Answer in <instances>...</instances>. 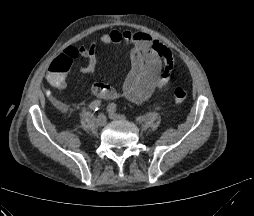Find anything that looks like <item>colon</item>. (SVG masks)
I'll use <instances>...</instances> for the list:
<instances>
[{
	"label": "colon",
	"mask_w": 254,
	"mask_h": 216,
	"mask_svg": "<svg viewBox=\"0 0 254 216\" xmlns=\"http://www.w3.org/2000/svg\"><path fill=\"white\" fill-rule=\"evenodd\" d=\"M69 66L70 65L62 63L61 57L54 60L49 66V74L51 75V78L57 79L60 75L68 70ZM173 96L176 103H182L187 97V92L184 88L177 87L174 89Z\"/></svg>",
	"instance_id": "5ec220e1"
}]
</instances>
